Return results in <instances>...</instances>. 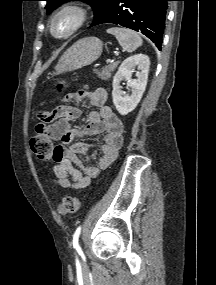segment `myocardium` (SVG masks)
<instances>
[{
	"label": "myocardium",
	"mask_w": 216,
	"mask_h": 285,
	"mask_svg": "<svg viewBox=\"0 0 216 285\" xmlns=\"http://www.w3.org/2000/svg\"><path fill=\"white\" fill-rule=\"evenodd\" d=\"M64 15H72L74 23L71 28L63 34L55 31L56 21ZM88 12L85 7L79 4H67L59 8L51 17L49 23L50 34L59 40H66L74 36L87 22Z\"/></svg>",
	"instance_id": "obj_1"
}]
</instances>
